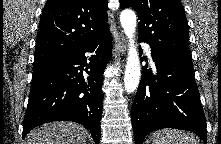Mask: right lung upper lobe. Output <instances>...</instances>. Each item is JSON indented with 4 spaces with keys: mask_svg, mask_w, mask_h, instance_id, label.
<instances>
[{
    "mask_svg": "<svg viewBox=\"0 0 221 144\" xmlns=\"http://www.w3.org/2000/svg\"><path fill=\"white\" fill-rule=\"evenodd\" d=\"M107 0H48L35 55H61L109 30Z\"/></svg>",
    "mask_w": 221,
    "mask_h": 144,
    "instance_id": "1",
    "label": "right lung upper lobe"
}]
</instances>
